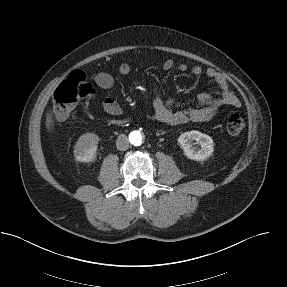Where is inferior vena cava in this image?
Returning <instances> with one entry per match:
<instances>
[{
    "instance_id": "obj_1",
    "label": "inferior vena cava",
    "mask_w": 287,
    "mask_h": 287,
    "mask_svg": "<svg viewBox=\"0 0 287 287\" xmlns=\"http://www.w3.org/2000/svg\"><path fill=\"white\" fill-rule=\"evenodd\" d=\"M116 147L119 151H125L129 147L128 137L125 134H121L116 139Z\"/></svg>"
}]
</instances>
